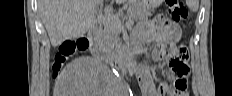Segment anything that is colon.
Instances as JSON below:
<instances>
[{"label":"colon","mask_w":232,"mask_h":96,"mask_svg":"<svg viewBox=\"0 0 232 96\" xmlns=\"http://www.w3.org/2000/svg\"><path fill=\"white\" fill-rule=\"evenodd\" d=\"M167 14L170 22H174L175 25L181 24L184 28L189 25L188 12L181 0H167ZM177 31L178 30H175V35H168V37L173 38L176 36ZM87 46L88 42L84 38L78 39L77 41L68 40L63 42L54 56L52 64L53 75L57 76L65 61L73 56L76 51H84ZM159 50H162L166 58L169 59L174 73L183 75L188 73L189 68L186 63L187 48L184 44L177 47L165 46Z\"/></svg>","instance_id":"obj_1"}]
</instances>
